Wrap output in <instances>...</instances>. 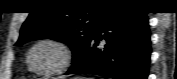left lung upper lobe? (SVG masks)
I'll use <instances>...</instances> for the list:
<instances>
[{
	"label": "left lung upper lobe",
	"instance_id": "left-lung-upper-lobe-1",
	"mask_svg": "<svg viewBox=\"0 0 177 79\" xmlns=\"http://www.w3.org/2000/svg\"><path fill=\"white\" fill-rule=\"evenodd\" d=\"M61 1H44V5L30 13L24 22L20 38L15 44L21 45L36 39H54L68 44L76 61L97 28L103 11L119 0L77 1L85 7L71 12L50 11L49 8Z\"/></svg>",
	"mask_w": 177,
	"mask_h": 79
}]
</instances>
